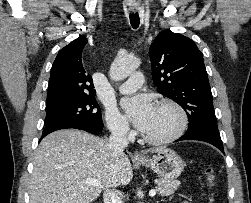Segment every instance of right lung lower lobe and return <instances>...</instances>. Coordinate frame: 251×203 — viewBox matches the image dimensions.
<instances>
[{
  "label": "right lung lower lobe",
  "instance_id": "obj_1",
  "mask_svg": "<svg viewBox=\"0 0 251 203\" xmlns=\"http://www.w3.org/2000/svg\"><path fill=\"white\" fill-rule=\"evenodd\" d=\"M68 128L80 129V130L90 132L92 134H98L101 131L100 129L82 121H76V120L63 121V122L45 126L41 139L53 131L60 130V129H68Z\"/></svg>",
  "mask_w": 251,
  "mask_h": 203
}]
</instances>
